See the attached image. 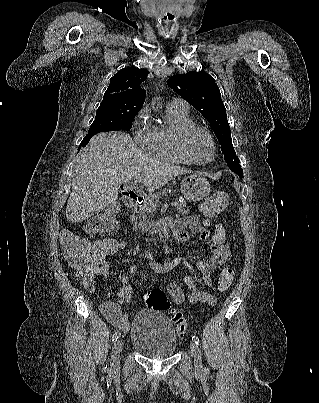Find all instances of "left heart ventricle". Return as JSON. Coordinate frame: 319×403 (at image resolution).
<instances>
[{
    "mask_svg": "<svg viewBox=\"0 0 319 403\" xmlns=\"http://www.w3.org/2000/svg\"><path fill=\"white\" fill-rule=\"evenodd\" d=\"M191 155L199 161H207L212 157L213 148L210 140L202 132H194L188 140Z\"/></svg>",
    "mask_w": 319,
    "mask_h": 403,
    "instance_id": "1",
    "label": "left heart ventricle"
}]
</instances>
